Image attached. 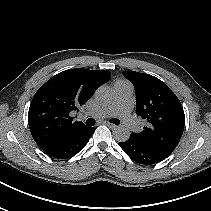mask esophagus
<instances>
[{
  "label": "esophagus",
  "instance_id": "34e87169",
  "mask_svg": "<svg viewBox=\"0 0 211 211\" xmlns=\"http://www.w3.org/2000/svg\"><path fill=\"white\" fill-rule=\"evenodd\" d=\"M104 124H105L106 126H108L109 128H112V129L116 128V125L110 123L109 121H104Z\"/></svg>",
  "mask_w": 211,
  "mask_h": 211
}]
</instances>
